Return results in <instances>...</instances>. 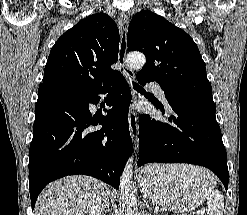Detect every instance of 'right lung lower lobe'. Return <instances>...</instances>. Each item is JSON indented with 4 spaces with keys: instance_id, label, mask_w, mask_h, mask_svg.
<instances>
[{
    "instance_id": "right-lung-lower-lobe-1",
    "label": "right lung lower lobe",
    "mask_w": 247,
    "mask_h": 215,
    "mask_svg": "<svg viewBox=\"0 0 247 215\" xmlns=\"http://www.w3.org/2000/svg\"><path fill=\"white\" fill-rule=\"evenodd\" d=\"M108 92L107 116L91 118L89 103ZM131 91L118 72L94 90L75 92L40 85L29 151L32 209L51 181L73 174L96 177L119 188L120 175L133 145L128 128ZM102 128L89 131L91 126Z\"/></svg>"
}]
</instances>
